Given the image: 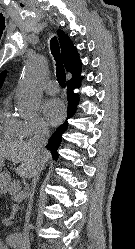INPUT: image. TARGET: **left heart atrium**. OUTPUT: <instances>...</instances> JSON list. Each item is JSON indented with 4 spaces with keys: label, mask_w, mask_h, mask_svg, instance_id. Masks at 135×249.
Here are the masks:
<instances>
[{
    "label": "left heart atrium",
    "mask_w": 135,
    "mask_h": 249,
    "mask_svg": "<svg viewBox=\"0 0 135 249\" xmlns=\"http://www.w3.org/2000/svg\"><path fill=\"white\" fill-rule=\"evenodd\" d=\"M42 110L46 120L51 125L58 124L63 118L65 112L63 103L57 98L47 100L44 103Z\"/></svg>",
    "instance_id": "39dd6f15"
}]
</instances>
